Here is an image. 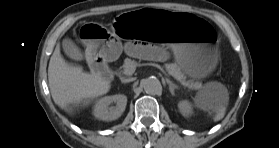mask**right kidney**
<instances>
[{
    "mask_svg": "<svg viewBox=\"0 0 279 148\" xmlns=\"http://www.w3.org/2000/svg\"><path fill=\"white\" fill-rule=\"evenodd\" d=\"M112 103H116V106H110ZM126 105L127 97L123 94L106 96L96 102L93 114L96 118L101 120H116L122 115Z\"/></svg>",
    "mask_w": 279,
    "mask_h": 148,
    "instance_id": "1",
    "label": "right kidney"
}]
</instances>
